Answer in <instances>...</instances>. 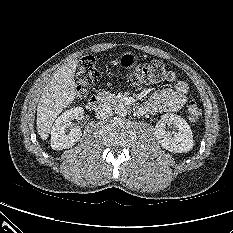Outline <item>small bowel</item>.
Returning <instances> with one entry per match:
<instances>
[{"label":"small bowel","instance_id":"1","mask_svg":"<svg viewBox=\"0 0 233 233\" xmlns=\"http://www.w3.org/2000/svg\"><path fill=\"white\" fill-rule=\"evenodd\" d=\"M189 87L183 80H176L173 89H163L153 93L143 105L144 113L176 112L187 101Z\"/></svg>","mask_w":233,"mask_h":233}]
</instances>
